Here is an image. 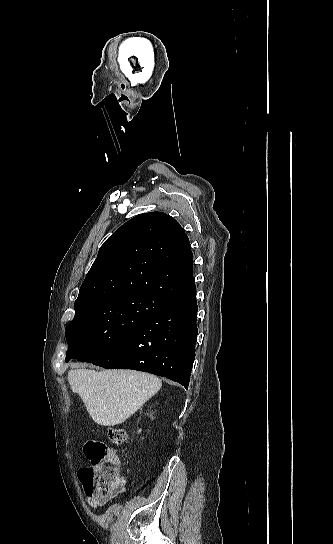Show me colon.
Wrapping results in <instances>:
<instances>
[{"label":"colon","mask_w":333,"mask_h":544,"mask_svg":"<svg viewBox=\"0 0 333 544\" xmlns=\"http://www.w3.org/2000/svg\"><path fill=\"white\" fill-rule=\"evenodd\" d=\"M108 440L113 445H121L126 440V432L119 427H109ZM84 454L91 465L78 471V477L86 492L109 490L122 480L120 459L105 443L89 440L84 446Z\"/></svg>","instance_id":"obj_1"}]
</instances>
